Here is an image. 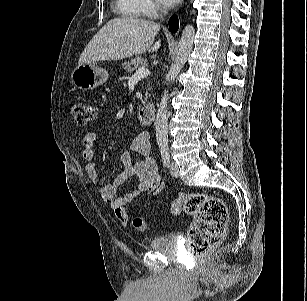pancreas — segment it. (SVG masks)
I'll return each mask as SVG.
<instances>
[{"label": "pancreas", "instance_id": "cf45deb5", "mask_svg": "<svg viewBox=\"0 0 307 301\" xmlns=\"http://www.w3.org/2000/svg\"><path fill=\"white\" fill-rule=\"evenodd\" d=\"M146 66H147V60L142 57H136L123 64V68L128 73H132L134 70H137L140 67H146ZM146 100H147V95H146L145 101Z\"/></svg>", "mask_w": 307, "mask_h": 301}]
</instances>
